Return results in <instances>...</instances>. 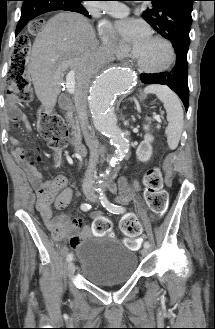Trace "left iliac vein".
Returning <instances> with one entry per match:
<instances>
[{
	"mask_svg": "<svg viewBox=\"0 0 215 329\" xmlns=\"http://www.w3.org/2000/svg\"><path fill=\"white\" fill-rule=\"evenodd\" d=\"M90 200L93 201V202H96V203L99 202V198L96 195H92L91 198H90ZM141 254L144 257L147 256V254H148V248L144 247L142 249V251H141Z\"/></svg>",
	"mask_w": 215,
	"mask_h": 329,
	"instance_id": "1",
	"label": "left iliac vein"
}]
</instances>
